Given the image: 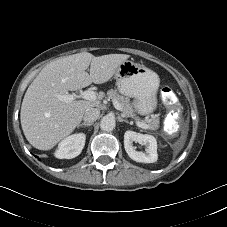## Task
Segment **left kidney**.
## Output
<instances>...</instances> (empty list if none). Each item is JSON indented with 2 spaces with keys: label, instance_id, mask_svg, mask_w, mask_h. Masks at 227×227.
I'll list each match as a JSON object with an SVG mask.
<instances>
[{
  "label": "left kidney",
  "instance_id": "1",
  "mask_svg": "<svg viewBox=\"0 0 227 227\" xmlns=\"http://www.w3.org/2000/svg\"><path fill=\"white\" fill-rule=\"evenodd\" d=\"M133 142L145 145V152L136 151L132 145ZM124 148L128 156L136 162L154 163L158 159L157 141L152 135L126 131L124 134Z\"/></svg>",
  "mask_w": 227,
  "mask_h": 227
}]
</instances>
